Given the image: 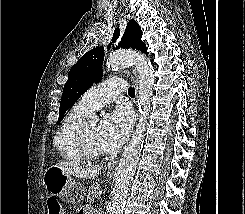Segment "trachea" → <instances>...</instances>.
I'll list each match as a JSON object with an SVG mask.
<instances>
[{
	"mask_svg": "<svg viewBox=\"0 0 245 214\" xmlns=\"http://www.w3.org/2000/svg\"><path fill=\"white\" fill-rule=\"evenodd\" d=\"M128 94H129L130 97H134L135 96V90H134L133 87H129Z\"/></svg>",
	"mask_w": 245,
	"mask_h": 214,
	"instance_id": "1",
	"label": "trachea"
}]
</instances>
